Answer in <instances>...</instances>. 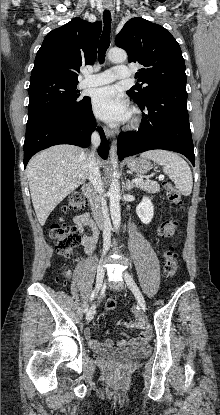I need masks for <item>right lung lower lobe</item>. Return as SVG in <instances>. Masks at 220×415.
I'll return each mask as SVG.
<instances>
[{
	"mask_svg": "<svg viewBox=\"0 0 220 415\" xmlns=\"http://www.w3.org/2000/svg\"><path fill=\"white\" fill-rule=\"evenodd\" d=\"M96 127L89 98L84 108L75 115L55 110L27 122L24 141V167L37 152L57 144H72L80 147L90 145L91 133ZM101 145L99 155L106 159L109 144L100 128Z\"/></svg>",
	"mask_w": 220,
	"mask_h": 415,
	"instance_id": "98d812e1",
	"label": "right lung lower lobe"
}]
</instances>
